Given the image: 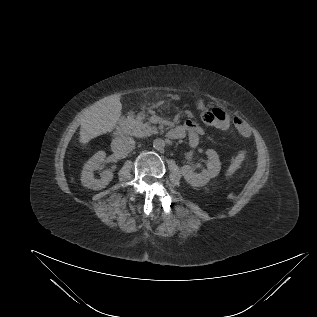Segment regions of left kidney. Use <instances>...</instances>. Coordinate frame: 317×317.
Wrapping results in <instances>:
<instances>
[{"instance_id":"left-kidney-1","label":"left kidney","mask_w":317,"mask_h":317,"mask_svg":"<svg viewBox=\"0 0 317 317\" xmlns=\"http://www.w3.org/2000/svg\"><path fill=\"white\" fill-rule=\"evenodd\" d=\"M206 155L208 156L207 169H204L201 173L194 172L190 165H184L182 167V175L192 186H204L211 178L216 177L220 172L221 162L217 152L213 149H208Z\"/></svg>"}]
</instances>
